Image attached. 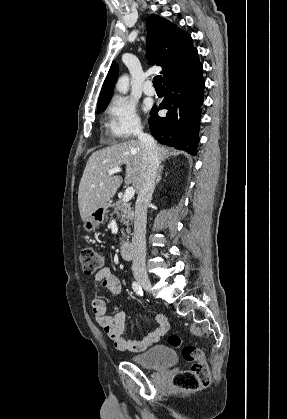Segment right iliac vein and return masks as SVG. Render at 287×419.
Returning <instances> with one entry per match:
<instances>
[{
    "mask_svg": "<svg viewBox=\"0 0 287 419\" xmlns=\"http://www.w3.org/2000/svg\"><path fill=\"white\" fill-rule=\"evenodd\" d=\"M136 280L146 291L151 290V282L148 277L136 276Z\"/></svg>",
    "mask_w": 287,
    "mask_h": 419,
    "instance_id": "obj_1",
    "label": "right iliac vein"
}]
</instances>
